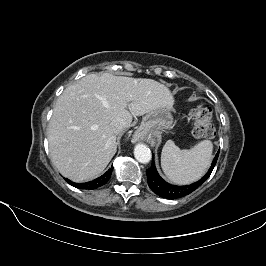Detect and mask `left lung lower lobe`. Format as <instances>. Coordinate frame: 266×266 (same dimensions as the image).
Listing matches in <instances>:
<instances>
[{
  "mask_svg": "<svg viewBox=\"0 0 266 266\" xmlns=\"http://www.w3.org/2000/svg\"><path fill=\"white\" fill-rule=\"evenodd\" d=\"M218 156H219V151L214 157L210 169L199 181L185 186L171 185L167 183L165 180H163L156 170L154 164V157H153L151 167L146 170L148 185L154 193L163 198L177 199L186 196L192 193L194 190H196L200 185H202L208 179V177L212 173L213 168L215 167Z\"/></svg>",
  "mask_w": 266,
  "mask_h": 266,
  "instance_id": "0a47b994",
  "label": "left lung lower lobe"
}]
</instances>
